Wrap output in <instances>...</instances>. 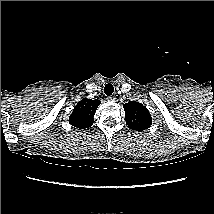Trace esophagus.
I'll use <instances>...</instances> for the list:
<instances>
[{
  "mask_svg": "<svg viewBox=\"0 0 214 214\" xmlns=\"http://www.w3.org/2000/svg\"><path fill=\"white\" fill-rule=\"evenodd\" d=\"M107 100H108L109 102H115V101H116V98H115L114 96H110V97L107 98Z\"/></svg>",
  "mask_w": 214,
  "mask_h": 214,
  "instance_id": "1",
  "label": "esophagus"
}]
</instances>
